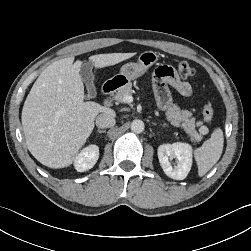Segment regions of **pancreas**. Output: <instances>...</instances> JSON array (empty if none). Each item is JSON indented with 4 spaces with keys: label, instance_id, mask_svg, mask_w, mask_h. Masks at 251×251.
<instances>
[{
    "label": "pancreas",
    "instance_id": "pancreas-1",
    "mask_svg": "<svg viewBox=\"0 0 251 251\" xmlns=\"http://www.w3.org/2000/svg\"><path fill=\"white\" fill-rule=\"evenodd\" d=\"M132 92V84L128 83L115 93L114 100L117 102H123V98L126 95H131ZM165 116L172 125L180 126L190 137L191 141L200 142L202 136L196 131L195 127L201 126L203 122H196L195 118L191 117L192 113L190 111L181 110L177 104H172L165 112Z\"/></svg>",
    "mask_w": 251,
    "mask_h": 251
}]
</instances>
